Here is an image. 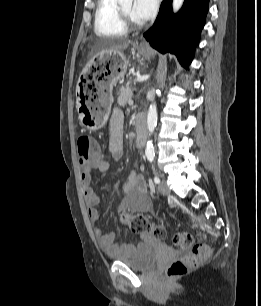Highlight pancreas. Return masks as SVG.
Here are the masks:
<instances>
[{"label":"pancreas","mask_w":261,"mask_h":306,"mask_svg":"<svg viewBox=\"0 0 261 306\" xmlns=\"http://www.w3.org/2000/svg\"><path fill=\"white\" fill-rule=\"evenodd\" d=\"M133 95L131 87H122L118 92L117 103L120 106H125L129 103Z\"/></svg>","instance_id":"cf45deb5"}]
</instances>
